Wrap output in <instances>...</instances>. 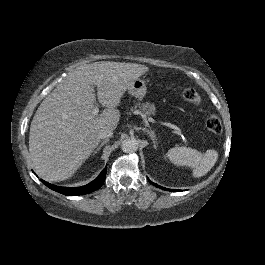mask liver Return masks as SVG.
<instances>
[{
  "instance_id": "6515ba94",
  "label": "liver",
  "mask_w": 265,
  "mask_h": 265,
  "mask_svg": "<svg viewBox=\"0 0 265 265\" xmlns=\"http://www.w3.org/2000/svg\"><path fill=\"white\" fill-rule=\"evenodd\" d=\"M147 71L144 65L102 61L70 72L42 101L31 122L29 152L39 176L50 181L70 178L98 146L99 131L117 127L121 97ZM93 86L99 103L107 107L99 116L92 114Z\"/></svg>"
}]
</instances>
